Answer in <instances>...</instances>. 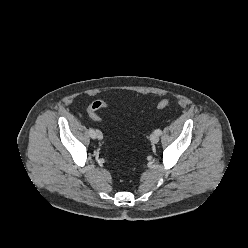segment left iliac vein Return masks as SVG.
I'll return each instance as SVG.
<instances>
[{
	"instance_id": "left-iliac-vein-1",
	"label": "left iliac vein",
	"mask_w": 248,
	"mask_h": 248,
	"mask_svg": "<svg viewBox=\"0 0 248 248\" xmlns=\"http://www.w3.org/2000/svg\"><path fill=\"white\" fill-rule=\"evenodd\" d=\"M150 141H151L153 144L158 143V141H159V135H157L156 133H152V134L150 135Z\"/></svg>"
}]
</instances>
